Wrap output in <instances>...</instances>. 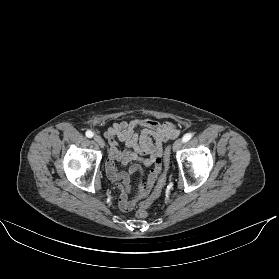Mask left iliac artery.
Returning <instances> with one entry per match:
<instances>
[{
    "instance_id": "left-iliac-artery-1",
    "label": "left iliac artery",
    "mask_w": 279,
    "mask_h": 279,
    "mask_svg": "<svg viewBox=\"0 0 279 279\" xmlns=\"http://www.w3.org/2000/svg\"><path fill=\"white\" fill-rule=\"evenodd\" d=\"M192 138V134L191 133H187L183 136V142H187Z\"/></svg>"
}]
</instances>
